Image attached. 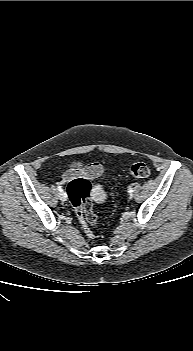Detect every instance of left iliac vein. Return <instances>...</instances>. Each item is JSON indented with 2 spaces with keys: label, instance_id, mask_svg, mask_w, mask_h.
I'll return each mask as SVG.
<instances>
[{
  "label": "left iliac vein",
  "instance_id": "obj_1",
  "mask_svg": "<svg viewBox=\"0 0 193 351\" xmlns=\"http://www.w3.org/2000/svg\"><path fill=\"white\" fill-rule=\"evenodd\" d=\"M129 197L132 199V198H133V194H132V193H130Z\"/></svg>",
  "mask_w": 193,
  "mask_h": 351
}]
</instances>
